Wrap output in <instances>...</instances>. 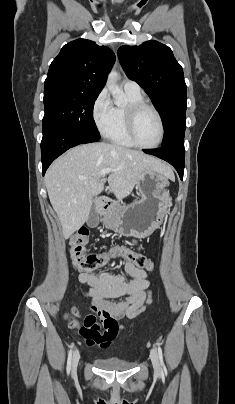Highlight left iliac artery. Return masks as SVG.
<instances>
[{"label":"left iliac artery","instance_id":"obj_1","mask_svg":"<svg viewBox=\"0 0 235 404\" xmlns=\"http://www.w3.org/2000/svg\"><path fill=\"white\" fill-rule=\"evenodd\" d=\"M156 346H157V349H158V355H159V359H160V365H161V368H163L164 369V362H163V354H162V349H161V347H160V344L159 343H156Z\"/></svg>","mask_w":235,"mask_h":404}]
</instances>
